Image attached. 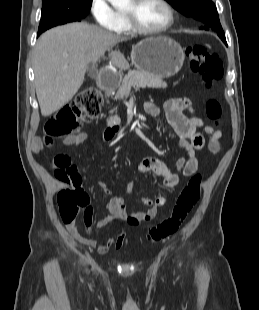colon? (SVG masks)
I'll return each instance as SVG.
<instances>
[{"mask_svg": "<svg viewBox=\"0 0 259 310\" xmlns=\"http://www.w3.org/2000/svg\"><path fill=\"white\" fill-rule=\"evenodd\" d=\"M190 69L199 74L207 87L218 82L223 75L222 62L219 56L202 45L187 47ZM101 93L95 86L82 89L72 104L51 117L45 125V142L53 143L55 139L70 136L79 130L84 122L94 121L100 111ZM207 117L216 125H220L222 106L215 99L206 103ZM55 176L67 185L57 196L58 211L63 223L74 225L79 215L90 208V197L82 188V178L78 169L72 165L71 159L59 154L54 159ZM202 175H194L181 190L174 204L171 215L149 230L148 240L159 242L174 234L184 222L200 197Z\"/></svg>", "mask_w": 259, "mask_h": 310, "instance_id": "colon-1", "label": "colon"}]
</instances>
